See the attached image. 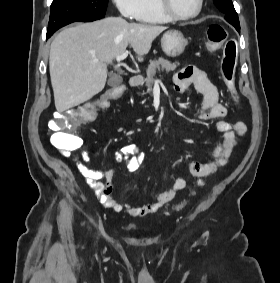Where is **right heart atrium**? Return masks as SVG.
<instances>
[{
    "label": "right heart atrium",
    "mask_w": 280,
    "mask_h": 283,
    "mask_svg": "<svg viewBox=\"0 0 280 283\" xmlns=\"http://www.w3.org/2000/svg\"><path fill=\"white\" fill-rule=\"evenodd\" d=\"M119 13L126 19H137L141 11V0H113Z\"/></svg>",
    "instance_id": "obj_1"
}]
</instances>
